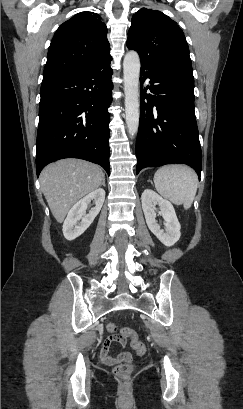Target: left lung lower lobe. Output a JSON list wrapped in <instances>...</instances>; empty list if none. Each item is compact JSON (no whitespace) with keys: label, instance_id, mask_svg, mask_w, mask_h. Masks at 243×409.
Instances as JSON below:
<instances>
[{"label":"left lung lower lobe","instance_id":"0a47b994","mask_svg":"<svg viewBox=\"0 0 243 409\" xmlns=\"http://www.w3.org/2000/svg\"><path fill=\"white\" fill-rule=\"evenodd\" d=\"M149 78L151 86L143 90ZM140 124L136 141V174L145 167L170 163L202 168L199 133L194 112L192 66L171 64L140 70Z\"/></svg>","mask_w":243,"mask_h":409}]
</instances>
